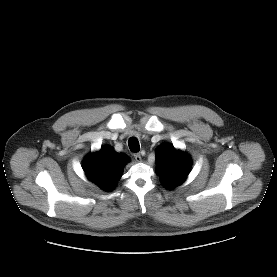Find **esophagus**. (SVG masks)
Masks as SVG:
<instances>
[{"label":"esophagus","instance_id":"esophagus-1","mask_svg":"<svg viewBox=\"0 0 277 277\" xmlns=\"http://www.w3.org/2000/svg\"><path fill=\"white\" fill-rule=\"evenodd\" d=\"M134 158L137 162H141L142 161V157L140 155V153H134Z\"/></svg>","mask_w":277,"mask_h":277}]
</instances>
